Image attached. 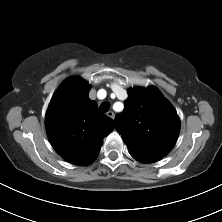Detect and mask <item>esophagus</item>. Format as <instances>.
Here are the masks:
<instances>
[{
    "label": "esophagus",
    "mask_w": 222,
    "mask_h": 222,
    "mask_svg": "<svg viewBox=\"0 0 222 222\" xmlns=\"http://www.w3.org/2000/svg\"><path fill=\"white\" fill-rule=\"evenodd\" d=\"M107 116L114 119V113L112 111L107 112Z\"/></svg>",
    "instance_id": "obj_1"
}]
</instances>
